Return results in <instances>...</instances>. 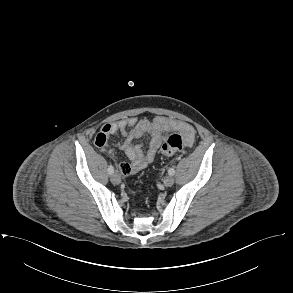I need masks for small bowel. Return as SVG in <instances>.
Instances as JSON below:
<instances>
[{
	"label": "small bowel",
	"instance_id": "c3829d8e",
	"mask_svg": "<svg viewBox=\"0 0 293 293\" xmlns=\"http://www.w3.org/2000/svg\"><path fill=\"white\" fill-rule=\"evenodd\" d=\"M167 132L180 133L187 147H190L195 139V131L190 124L169 117L157 116L152 120L127 117L108 122L101 127L94 142L98 148L107 151L117 160L120 173L127 176L140 172L154 161ZM115 135L122 136V139L116 143V147L125 153L130 160L129 163L118 161L115 150L111 148L109 139ZM145 137L149 139L146 150L140 144H134L135 140Z\"/></svg>",
	"mask_w": 293,
	"mask_h": 293
}]
</instances>
